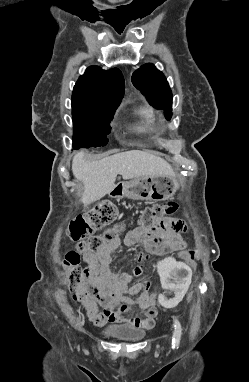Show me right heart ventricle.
Listing matches in <instances>:
<instances>
[{
  "label": "right heart ventricle",
  "instance_id": "1",
  "mask_svg": "<svg viewBox=\"0 0 249 382\" xmlns=\"http://www.w3.org/2000/svg\"><path fill=\"white\" fill-rule=\"evenodd\" d=\"M134 114L138 118L139 129L141 130L155 129L156 116L152 108L146 105H141L134 109Z\"/></svg>",
  "mask_w": 249,
  "mask_h": 382
}]
</instances>
